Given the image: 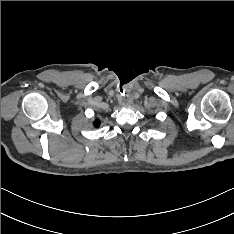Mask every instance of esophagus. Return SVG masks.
Wrapping results in <instances>:
<instances>
[{
  "instance_id": "34e87169",
  "label": "esophagus",
  "mask_w": 234,
  "mask_h": 234,
  "mask_svg": "<svg viewBox=\"0 0 234 234\" xmlns=\"http://www.w3.org/2000/svg\"><path fill=\"white\" fill-rule=\"evenodd\" d=\"M122 104H123V105H127V104H128V100L123 98V99H122Z\"/></svg>"
}]
</instances>
